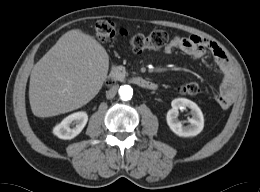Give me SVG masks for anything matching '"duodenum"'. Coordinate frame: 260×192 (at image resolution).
Masks as SVG:
<instances>
[{"label":"duodenum","instance_id":"1","mask_svg":"<svg viewBox=\"0 0 260 192\" xmlns=\"http://www.w3.org/2000/svg\"><path fill=\"white\" fill-rule=\"evenodd\" d=\"M110 78L113 81H127L135 86L146 90H156L158 85L141 76H129L127 72L119 66L113 67L110 71Z\"/></svg>","mask_w":260,"mask_h":192}]
</instances>
